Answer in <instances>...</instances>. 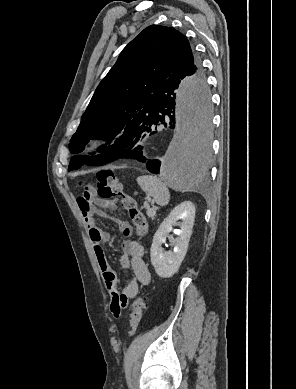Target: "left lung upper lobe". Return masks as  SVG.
Returning <instances> with one entry per match:
<instances>
[{
    "label": "left lung upper lobe",
    "mask_w": 296,
    "mask_h": 389,
    "mask_svg": "<svg viewBox=\"0 0 296 389\" xmlns=\"http://www.w3.org/2000/svg\"><path fill=\"white\" fill-rule=\"evenodd\" d=\"M175 75L188 79L204 77L200 60L187 38L171 27L145 28L123 49L100 82L70 140V151L80 153L90 138H100L108 141L98 149L103 152L134 117L146 118L159 88ZM100 156H74L69 170L83 164L98 166Z\"/></svg>",
    "instance_id": "obj_1"
}]
</instances>
